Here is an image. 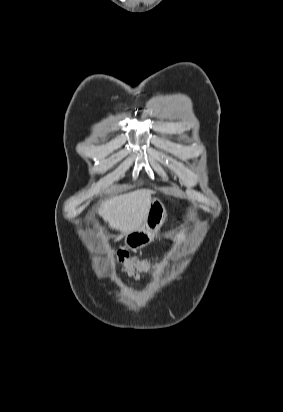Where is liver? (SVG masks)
<instances>
[{
  "instance_id": "1",
  "label": "liver",
  "mask_w": 283,
  "mask_h": 412,
  "mask_svg": "<svg viewBox=\"0 0 283 412\" xmlns=\"http://www.w3.org/2000/svg\"><path fill=\"white\" fill-rule=\"evenodd\" d=\"M152 194L151 190H136L111 197L102 203L98 209L99 215L110 228L121 232L116 241L143 225L152 202Z\"/></svg>"
}]
</instances>
